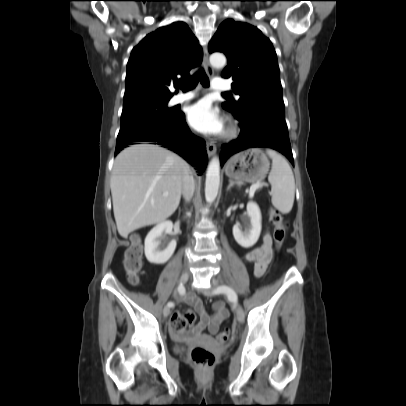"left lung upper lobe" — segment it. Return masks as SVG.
I'll return each instance as SVG.
<instances>
[{
  "label": "left lung upper lobe",
  "instance_id": "obj_1",
  "mask_svg": "<svg viewBox=\"0 0 406 406\" xmlns=\"http://www.w3.org/2000/svg\"><path fill=\"white\" fill-rule=\"evenodd\" d=\"M209 52H223L228 65L223 78L233 80L240 98L222 103L237 119L255 111L285 115L277 56L271 41L256 27L225 20L209 43Z\"/></svg>",
  "mask_w": 406,
  "mask_h": 406
}]
</instances>
